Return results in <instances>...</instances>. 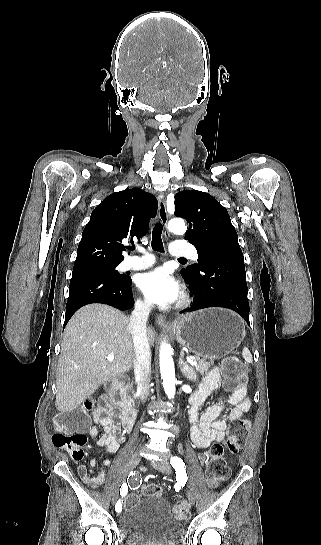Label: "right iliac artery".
<instances>
[{
  "label": "right iliac artery",
  "mask_w": 321,
  "mask_h": 545,
  "mask_svg": "<svg viewBox=\"0 0 321 545\" xmlns=\"http://www.w3.org/2000/svg\"><path fill=\"white\" fill-rule=\"evenodd\" d=\"M120 494L121 496H125L127 494V491H128V486L126 483H123L122 486H121V489H120ZM115 510L116 512H120L122 510V507H121V504L120 502H117L116 506H115Z\"/></svg>",
  "instance_id": "right-iliac-artery-1"
}]
</instances>
